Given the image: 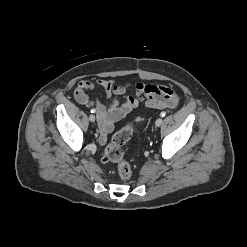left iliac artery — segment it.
<instances>
[{
    "mask_svg": "<svg viewBox=\"0 0 247 247\" xmlns=\"http://www.w3.org/2000/svg\"><path fill=\"white\" fill-rule=\"evenodd\" d=\"M165 115H166L165 112H161V114H160L161 117H164Z\"/></svg>",
    "mask_w": 247,
    "mask_h": 247,
    "instance_id": "1",
    "label": "left iliac artery"
}]
</instances>
